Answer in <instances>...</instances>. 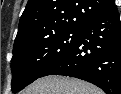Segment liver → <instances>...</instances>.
Masks as SVG:
<instances>
[{
    "label": "liver",
    "mask_w": 121,
    "mask_h": 94,
    "mask_svg": "<svg viewBox=\"0 0 121 94\" xmlns=\"http://www.w3.org/2000/svg\"><path fill=\"white\" fill-rule=\"evenodd\" d=\"M20 94H104L88 82L63 76H46L29 85Z\"/></svg>",
    "instance_id": "obj_1"
}]
</instances>
